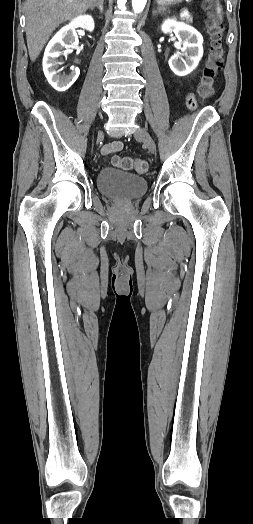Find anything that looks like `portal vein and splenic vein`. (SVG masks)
Listing matches in <instances>:
<instances>
[{"mask_svg": "<svg viewBox=\"0 0 253 524\" xmlns=\"http://www.w3.org/2000/svg\"><path fill=\"white\" fill-rule=\"evenodd\" d=\"M189 15V12L187 9H184L181 13H180V17L183 18V17H186Z\"/></svg>", "mask_w": 253, "mask_h": 524, "instance_id": "18ae733b", "label": "portal vein and splenic vein"}]
</instances>
